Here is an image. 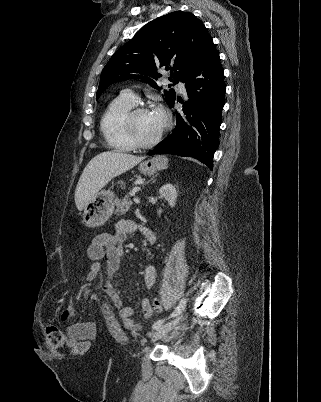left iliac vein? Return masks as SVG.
<instances>
[{"label": "left iliac vein", "mask_w": 321, "mask_h": 402, "mask_svg": "<svg viewBox=\"0 0 321 402\" xmlns=\"http://www.w3.org/2000/svg\"><path fill=\"white\" fill-rule=\"evenodd\" d=\"M184 317L183 313H180L179 315H177L176 318H174L173 320L165 323L164 325H162L159 329H157L153 336H152V341H157L161 338H163L164 336H166L171 330H173L177 325H179V323L182 321Z\"/></svg>", "instance_id": "left-iliac-vein-1"}]
</instances>
